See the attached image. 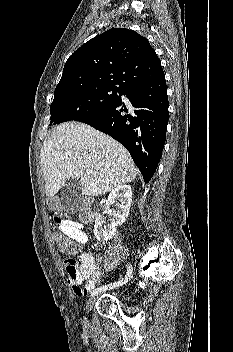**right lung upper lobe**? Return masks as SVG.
Listing matches in <instances>:
<instances>
[{
  "instance_id": "right-lung-upper-lobe-1",
  "label": "right lung upper lobe",
  "mask_w": 233,
  "mask_h": 352,
  "mask_svg": "<svg viewBox=\"0 0 233 352\" xmlns=\"http://www.w3.org/2000/svg\"><path fill=\"white\" fill-rule=\"evenodd\" d=\"M163 75L160 60L145 37L133 30L113 28L89 40L68 58L55 95L100 85L127 90Z\"/></svg>"
}]
</instances>
